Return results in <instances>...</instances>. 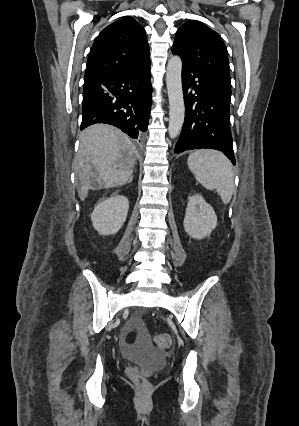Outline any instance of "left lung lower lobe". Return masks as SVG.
<instances>
[{"label": "left lung lower lobe", "mask_w": 299, "mask_h": 426, "mask_svg": "<svg viewBox=\"0 0 299 426\" xmlns=\"http://www.w3.org/2000/svg\"><path fill=\"white\" fill-rule=\"evenodd\" d=\"M185 122L175 153L210 148L222 151L235 165L230 130L231 94L193 67L182 64Z\"/></svg>", "instance_id": "obj_1"}]
</instances>
